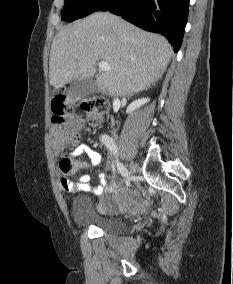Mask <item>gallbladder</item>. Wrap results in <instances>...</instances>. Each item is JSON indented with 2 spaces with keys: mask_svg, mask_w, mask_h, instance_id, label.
Returning <instances> with one entry per match:
<instances>
[{
  "mask_svg": "<svg viewBox=\"0 0 233 284\" xmlns=\"http://www.w3.org/2000/svg\"><path fill=\"white\" fill-rule=\"evenodd\" d=\"M97 82L93 78L73 80L68 88V95L72 98L84 97L98 92Z\"/></svg>",
  "mask_w": 233,
  "mask_h": 284,
  "instance_id": "1",
  "label": "gallbladder"
}]
</instances>
